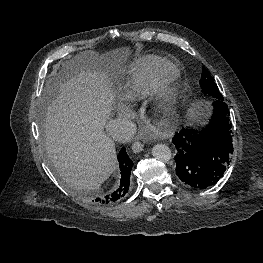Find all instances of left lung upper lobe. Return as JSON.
Listing matches in <instances>:
<instances>
[{
	"label": "left lung upper lobe",
	"mask_w": 263,
	"mask_h": 263,
	"mask_svg": "<svg viewBox=\"0 0 263 263\" xmlns=\"http://www.w3.org/2000/svg\"><path fill=\"white\" fill-rule=\"evenodd\" d=\"M200 86L203 92L206 94L218 99L223 98L219 92L217 84L214 82L213 78L209 75L208 71L204 67L202 68Z\"/></svg>",
	"instance_id": "left-lung-upper-lobe-1"
}]
</instances>
